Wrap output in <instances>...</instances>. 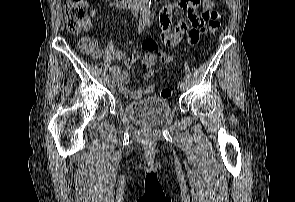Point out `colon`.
Instances as JSON below:
<instances>
[{"label": "colon", "mask_w": 295, "mask_h": 202, "mask_svg": "<svg viewBox=\"0 0 295 202\" xmlns=\"http://www.w3.org/2000/svg\"><path fill=\"white\" fill-rule=\"evenodd\" d=\"M65 21L67 29L73 33H80L88 28L89 22L86 17L87 13V0H66L64 5ZM220 25L219 14L213 11L210 14V19L208 22V29L211 33L215 32ZM81 49L83 51L91 50V46L85 42L81 41ZM142 68H145L147 75H156V65L157 52H145V56H141ZM157 87V82H148L145 85V90H155ZM160 96L168 99L171 96V91L168 88H164L160 91Z\"/></svg>", "instance_id": "1"}]
</instances>
